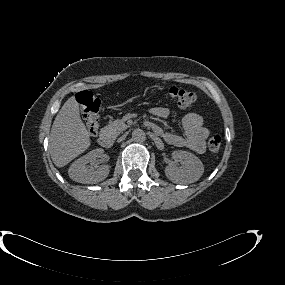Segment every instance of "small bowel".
Listing matches in <instances>:
<instances>
[{"mask_svg": "<svg viewBox=\"0 0 285 285\" xmlns=\"http://www.w3.org/2000/svg\"><path fill=\"white\" fill-rule=\"evenodd\" d=\"M150 113L161 119L169 116V110L165 107H153ZM183 134L177 132H165L161 127L155 123H150L152 130L162 136L164 140L176 147H185L196 153H203L205 151V139L209 135L208 129L203 125V118L199 111L188 113L184 116L183 121Z\"/></svg>", "mask_w": 285, "mask_h": 285, "instance_id": "c3829d8e", "label": "small bowel"}]
</instances>
